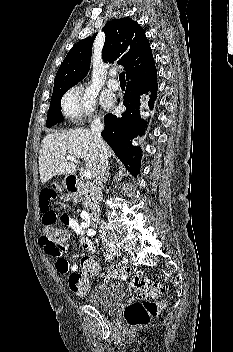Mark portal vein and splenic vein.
I'll return each mask as SVG.
<instances>
[{
    "instance_id": "obj_1",
    "label": "portal vein and splenic vein",
    "mask_w": 233,
    "mask_h": 352,
    "mask_svg": "<svg viewBox=\"0 0 233 352\" xmlns=\"http://www.w3.org/2000/svg\"><path fill=\"white\" fill-rule=\"evenodd\" d=\"M68 161H71L73 163L78 164L79 162L76 160V158L72 157V156H67L66 158ZM83 176L85 177V179H91L92 174L90 171H84L83 172Z\"/></svg>"
}]
</instances>
